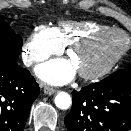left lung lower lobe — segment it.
Wrapping results in <instances>:
<instances>
[{"label":"left lung lower lobe","instance_id":"left-lung-lower-lobe-1","mask_svg":"<svg viewBox=\"0 0 131 131\" xmlns=\"http://www.w3.org/2000/svg\"><path fill=\"white\" fill-rule=\"evenodd\" d=\"M64 122L69 131H129L131 82L100 81L73 91Z\"/></svg>","mask_w":131,"mask_h":131}]
</instances>
